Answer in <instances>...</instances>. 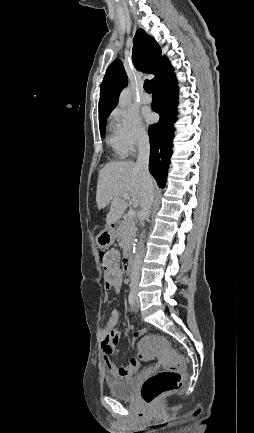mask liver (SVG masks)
Returning <instances> with one entry per match:
<instances>
[{"label":"liver","mask_w":254,"mask_h":433,"mask_svg":"<svg viewBox=\"0 0 254 433\" xmlns=\"http://www.w3.org/2000/svg\"><path fill=\"white\" fill-rule=\"evenodd\" d=\"M143 184V175L132 161L110 162L100 170L96 191L97 206L103 209L110 204L105 227L116 223L129 204L133 207L141 205ZM123 194L130 196L129 204L123 199Z\"/></svg>","instance_id":"1"}]
</instances>
